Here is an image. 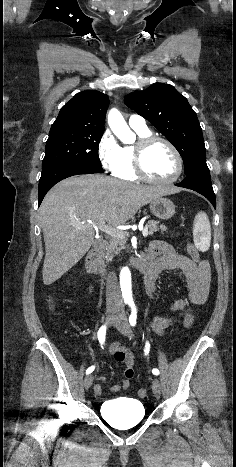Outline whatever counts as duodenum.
<instances>
[{
    "label": "duodenum",
    "mask_w": 236,
    "mask_h": 467,
    "mask_svg": "<svg viewBox=\"0 0 236 467\" xmlns=\"http://www.w3.org/2000/svg\"><path fill=\"white\" fill-rule=\"evenodd\" d=\"M106 248L105 241L96 243L93 248L89 251L86 258V268L89 273L94 275L100 281H104L106 277V271L103 267L102 257ZM135 269L144 277L145 281H152L155 278V273L151 270V267L142 259L138 260L134 264Z\"/></svg>",
    "instance_id": "410a0bca"
}]
</instances>
